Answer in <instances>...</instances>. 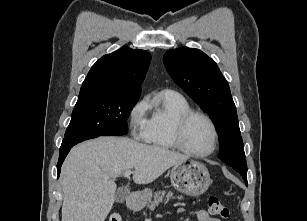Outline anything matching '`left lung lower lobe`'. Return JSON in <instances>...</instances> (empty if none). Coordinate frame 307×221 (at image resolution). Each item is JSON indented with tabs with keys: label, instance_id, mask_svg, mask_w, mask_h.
Listing matches in <instances>:
<instances>
[{
	"label": "left lung lower lobe",
	"instance_id": "obj_1",
	"mask_svg": "<svg viewBox=\"0 0 307 221\" xmlns=\"http://www.w3.org/2000/svg\"><path fill=\"white\" fill-rule=\"evenodd\" d=\"M240 174H241V176L243 177V179H244V181H245V183H246V186H247V173H241V172H239Z\"/></svg>",
	"mask_w": 307,
	"mask_h": 221
}]
</instances>
